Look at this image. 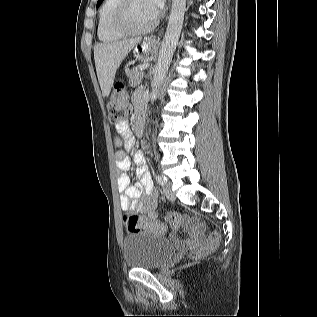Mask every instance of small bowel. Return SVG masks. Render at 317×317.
<instances>
[{
	"mask_svg": "<svg viewBox=\"0 0 317 317\" xmlns=\"http://www.w3.org/2000/svg\"><path fill=\"white\" fill-rule=\"evenodd\" d=\"M133 102L138 117L140 112L139 98L135 96ZM115 128V145L117 147H124V150H118L115 153L116 166L120 171L117 186L120 192L121 209L124 211H135L145 215L147 219L154 221L157 217V192L145 165L143 154L137 151L133 155L138 182L135 185H131L128 175L131 161L126 151L134 147L135 137L126 120L117 123ZM200 236L201 232L197 226L190 227L191 240H197Z\"/></svg>",
	"mask_w": 317,
	"mask_h": 317,
	"instance_id": "obj_1",
	"label": "small bowel"
}]
</instances>
